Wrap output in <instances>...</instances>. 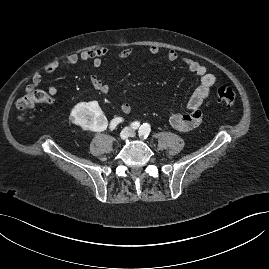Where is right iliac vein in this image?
<instances>
[{
    "mask_svg": "<svg viewBox=\"0 0 269 269\" xmlns=\"http://www.w3.org/2000/svg\"><path fill=\"white\" fill-rule=\"evenodd\" d=\"M131 133V130L128 127H125L120 133V139L125 140Z\"/></svg>",
    "mask_w": 269,
    "mask_h": 269,
    "instance_id": "1",
    "label": "right iliac vein"
}]
</instances>
